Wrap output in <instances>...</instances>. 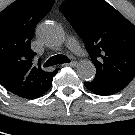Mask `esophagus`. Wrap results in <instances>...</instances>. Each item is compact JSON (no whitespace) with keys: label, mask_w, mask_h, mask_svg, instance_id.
Masks as SVG:
<instances>
[{"label":"esophagus","mask_w":135,"mask_h":135,"mask_svg":"<svg viewBox=\"0 0 135 135\" xmlns=\"http://www.w3.org/2000/svg\"><path fill=\"white\" fill-rule=\"evenodd\" d=\"M77 62L76 61H72V62H70V63H67V64H65V66H71V67H75V66H77Z\"/></svg>","instance_id":"esophagus-1"}]
</instances>
